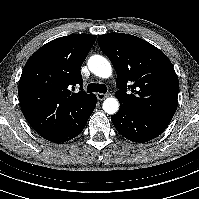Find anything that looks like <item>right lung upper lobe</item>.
I'll return each mask as SVG.
<instances>
[{
    "label": "right lung upper lobe",
    "mask_w": 199,
    "mask_h": 199,
    "mask_svg": "<svg viewBox=\"0 0 199 199\" xmlns=\"http://www.w3.org/2000/svg\"><path fill=\"white\" fill-rule=\"evenodd\" d=\"M95 35L73 34L52 40L27 61L18 86L22 113L40 135L58 132L87 112L94 94L82 87L81 65ZM80 86L78 93H72Z\"/></svg>",
    "instance_id": "obj_1"
}]
</instances>
